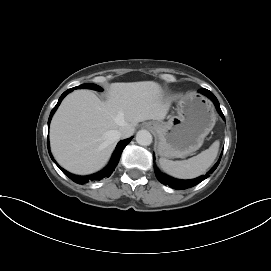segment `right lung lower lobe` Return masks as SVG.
Returning <instances> with one entry per match:
<instances>
[{
  "label": "right lung lower lobe",
  "mask_w": 271,
  "mask_h": 271,
  "mask_svg": "<svg viewBox=\"0 0 271 271\" xmlns=\"http://www.w3.org/2000/svg\"><path fill=\"white\" fill-rule=\"evenodd\" d=\"M72 90H74V88H71V89H68L67 91H65L61 97L59 98L58 100V103L56 104V106L52 109L51 113H50V116H49V120H48V126L50 124V120L54 114V112L56 111L57 107L59 106V104L61 103L62 99L69 93L71 92ZM132 137L131 138H128V139H125V140H122L118 143L114 153H113V156L111 158V161L110 163L108 164V166L103 169L102 171L96 173V174H93V175H90V176H77V175H73L69 172H67L66 170H64L63 168H61L57 163L56 161L53 159L51 153H50V150H49V141L47 142V146H48V151H49V154H50V157L51 159L56 163V165L60 168V170L65 174L67 175L72 181L78 183V184H84V183H87L89 180H97V179H100V178H103V177H109L113 170L115 169L116 165L118 164L119 162V159H120V156H121V153L123 151V149L129 144V142L131 141Z\"/></svg>",
  "instance_id": "1"
}]
</instances>
